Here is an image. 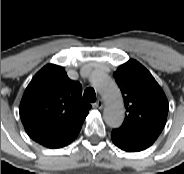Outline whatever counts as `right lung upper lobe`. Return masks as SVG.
Here are the masks:
<instances>
[{
    "mask_svg": "<svg viewBox=\"0 0 184 174\" xmlns=\"http://www.w3.org/2000/svg\"><path fill=\"white\" fill-rule=\"evenodd\" d=\"M81 84L68 78L64 68L44 66L27 86L20 117L27 134L55 148L81 129L91 105L81 95Z\"/></svg>",
    "mask_w": 184,
    "mask_h": 174,
    "instance_id": "cb5924a9",
    "label": "right lung upper lobe"
}]
</instances>
